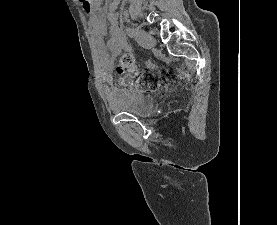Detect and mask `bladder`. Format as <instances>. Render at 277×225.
Wrapping results in <instances>:
<instances>
[{"mask_svg": "<svg viewBox=\"0 0 277 225\" xmlns=\"http://www.w3.org/2000/svg\"><path fill=\"white\" fill-rule=\"evenodd\" d=\"M153 105L154 101L150 94L136 89H126L121 91V95L112 105V110L144 117L151 112Z\"/></svg>", "mask_w": 277, "mask_h": 225, "instance_id": "1", "label": "bladder"}]
</instances>
